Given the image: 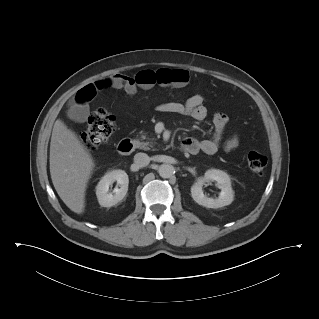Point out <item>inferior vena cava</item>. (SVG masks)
I'll return each instance as SVG.
<instances>
[{
  "label": "inferior vena cava",
  "mask_w": 319,
  "mask_h": 319,
  "mask_svg": "<svg viewBox=\"0 0 319 319\" xmlns=\"http://www.w3.org/2000/svg\"><path fill=\"white\" fill-rule=\"evenodd\" d=\"M134 163L139 167H145L150 163V157L146 153H137L134 156Z\"/></svg>",
  "instance_id": "obj_1"
}]
</instances>
